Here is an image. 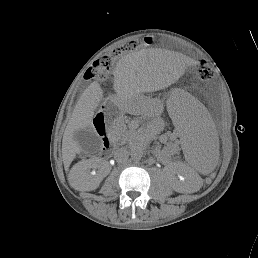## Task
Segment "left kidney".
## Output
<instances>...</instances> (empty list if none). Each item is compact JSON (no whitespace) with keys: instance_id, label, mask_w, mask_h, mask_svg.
<instances>
[{"instance_id":"1","label":"left kidney","mask_w":258,"mask_h":258,"mask_svg":"<svg viewBox=\"0 0 258 258\" xmlns=\"http://www.w3.org/2000/svg\"><path fill=\"white\" fill-rule=\"evenodd\" d=\"M185 180L178 181L174 185V190L179 193H192L194 191V177L189 168L183 170L181 173Z\"/></svg>"}]
</instances>
